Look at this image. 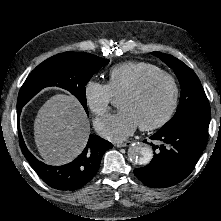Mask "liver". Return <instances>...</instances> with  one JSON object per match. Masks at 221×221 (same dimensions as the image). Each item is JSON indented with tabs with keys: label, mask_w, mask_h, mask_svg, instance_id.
<instances>
[{
	"label": "liver",
	"mask_w": 221,
	"mask_h": 221,
	"mask_svg": "<svg viewBox=\"0 0 221 221\" xmlns=\"http://www.w3.org/2000/svg\"><path fill=\"white\" fill-rule=\"evenodd\" d=\"M90 133L87 115L72 96L57 94L39 109L34 138L43 161L49 165L71 162L84 149Z\"/></svg>",
	"instance_id": "1"
}]
</instances>
